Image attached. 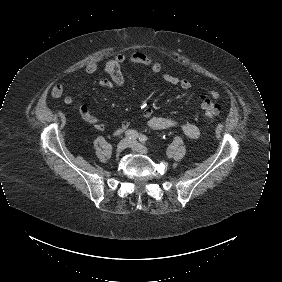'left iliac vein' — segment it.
Here are the masks:
<instances>
[{"mask_svg":"<svg viewBox=\"0 0 282 282\" xmlns=\"http://www.w3.org/2000/svg\"><path fill=\"white\" fill-rule=\"evenodd\" d=\"M130 148H132L134 151L142 153V154H147L148 153V148L145 147L144 145L138 143L135 140L130 141Z\"/></svg>","mask_w":282,"mask_h":282,"instance_id":"left-iliac-vein-1","label":"left iliac vein"}]
</instances>
